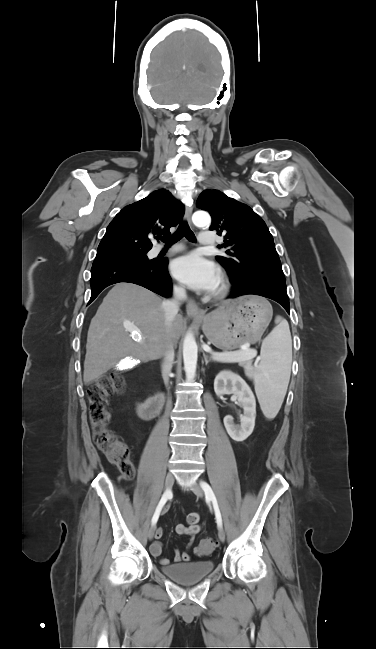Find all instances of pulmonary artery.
<instances>
[{
	"label": "pulmonary artery",
	"mask_w": 376,
	"mask_h": 649,
	"mask_svg": "<svg viewBox=\"0 0 376 649\" xmlns=\"http://www.w3.org/2000/svg\"><path fill=\"white\" fill-rule=\"evenodd\" d=\"M217 242L215 236L207 231L201 232L199 236V244L203 247H210L215 245ZM181 248L180 247H174L170 251H179ZM161 251L160 248H157L155 250V253H159Z\"/></svg>",
	"instance_id": "1"
}]
</instances>
